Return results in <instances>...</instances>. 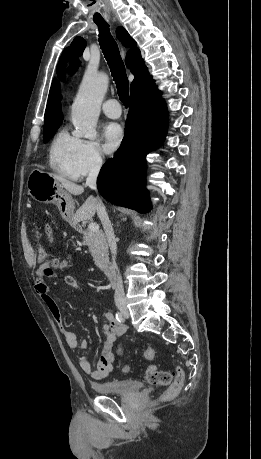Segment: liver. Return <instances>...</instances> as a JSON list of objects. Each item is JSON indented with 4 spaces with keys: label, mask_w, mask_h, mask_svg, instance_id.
<instances>
[{
    "label": "liver",
    "mask_w": 261,
    "mask_h": 459,
    "mask_svg": "<svg viewBox=\"0 0 261 459\" xmlns=\"http://www.w3.org/2000/svg\"><path fill=\"white\" fill-rule=\"evenodd\" d=\"M52 176L61 184V186L70 194L81 195L84 192L83 186H80L74 182L65 179L62 176L52 174ZM95 203L92 196L88 197L83 205L76 211L74 215V221L79 222L83 220H89L95 215ZM24 253L27 263L30 267L35 265V255L28 241L24 243Z\"/></svg>",
    "instance_id": "1"
}]
</instances>
